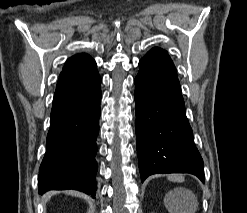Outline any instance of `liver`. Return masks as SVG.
<instances>
[{
	"label": "liver",
	"instance_id": "liver-1",
	"mask_svg": "<svg viewBox=\"0 0 247 213\" xmlns=\"http://www.w3.org/2000/svg\"><path fill=\"white\" fill-rule=\"evenodd\" d=\"M49 198H50V196H47V197H46V200H48Z\"/></svg>",
	"mask_w": 247,
	"mask_h": 213
}]
</instances>
